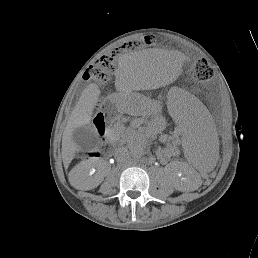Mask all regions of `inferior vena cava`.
<instances>
[{"label": "inferior vena cava", "mask_w": 258, "mask_h": 258, "mask_svg": "<svg viewBox=\"0 0 258 258\" xmlns=\"http://www.w3.org/2000/svg\"><path fill=\"white\" fill-rule=\"evenodd\" d=\"M128 151H126L125 149H118L115 153V157H116V160L117 162L119 163H124L127 161V158H128Z\"/></svg>", "instance_id": "obj_1"}]
</instances>
